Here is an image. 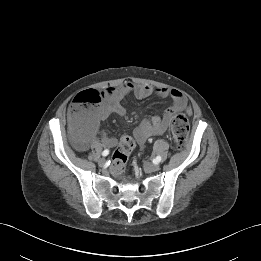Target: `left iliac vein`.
Returning <instances> with one entry per match:
<instances>
[{
	"mask_svg": "<svg viewBox=\"0 0 261 261\" xmlns=\"http://www.w3.org/2000/svg\"><path fill=\"white\" fill-rule=\"evenodd\" d=\"M159 167H160V166H159L158 163H147V162H145V163L143 164L144 170H145L146 172H149V173L155 172V171L159 170Z\"/></svg>",
	"mask_w": 261,
	"mask_h": 261,
	"instance_id": "obj_1",
	"label": "left iliac vein"
}]
</instances>
